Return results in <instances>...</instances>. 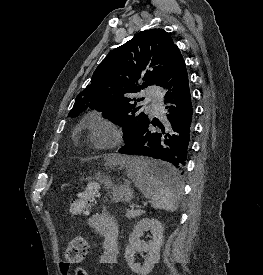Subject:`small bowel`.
Returning <instances> with one entry per match:
<instances>
[{
    "mask_svg": "<svg viewBox=\"0 0 263 275\" xmlns=\"http://www.w3.org/2000/svg\"><path fill=\"white\" fill-rule=\"evenodd\" d=\"M87 223L88 226L95 229L102 238L100 263L104 265L114 264L119 252V224L117 219L107 209H102L92 214L88 218ZM60 269L63 275H67L69 268H64L61 264Z\"/></svg>",
    "mask_w": 263,
    "mask_h": 275,
    "instance_id": "obj_1",
    "label": "small bowel"
}]
</instances>
